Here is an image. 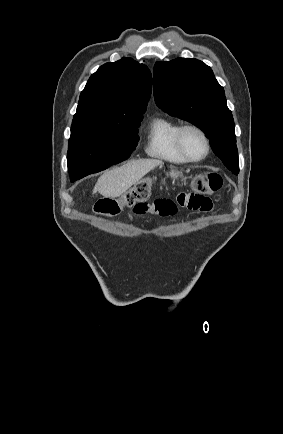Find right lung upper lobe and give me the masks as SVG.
I'll return each mask as SVG.
<instances>
[{"mask_svg": "<svg viewBox=\"0 0 283 434\" xmlns=\"http://www.w3.org/2000/svg\"><path fill=\"white\" fill-rule=\"evenodd\" d=\"M152 89L147 66L132 58L109 62L91 75L72 123L127 122L143 118Z\"/></svg>", "mask_w": 283, "mask_h": 434, "instance_id": "right-lung-upper-lobe-1", "label": "right lung upper lobe"}]
</instances>
